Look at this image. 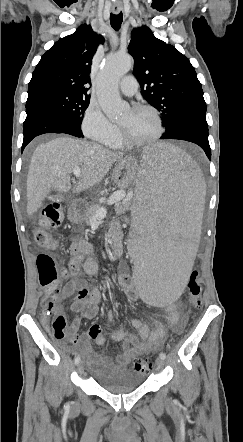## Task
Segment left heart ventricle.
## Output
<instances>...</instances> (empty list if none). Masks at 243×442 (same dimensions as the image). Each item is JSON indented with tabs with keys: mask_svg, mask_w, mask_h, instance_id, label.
<instances>
[{
	"mask_svg": "<svg viewBox=\"0 0 243 442\" xmlns=\"http://www.w3.org/2000/svg\"><path fill=\"white\" fill-rule=\"evenodd\" d=\"M119 125L124 128L127 136L135 141L153 137L158 128L152 112H134L131 109L122 117Z\"/></svg>",
	"mask_w": 243,
	"mask_h": 442,
	"instance_id": "left-heart-ventricle-1",
	"label": "left heart ventricle"
}]
</instances>
